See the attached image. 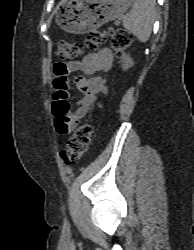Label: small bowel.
Returning <instances> with one entry per match:
<instances>
[{"instance_id": "1", "label": "small bowel", "mask_w": 194, "mask_h": 250, "mask_svg": "<svg viewBox=\"0 0 194 250\" xmlns=\"http://www.w3.org/2000/svg\"><path fill=\"white\" fill-rule=\"evenodd\" d=\"M113 52L109 48H103L95 53L86 55L82 60L70 63H58L54 67L55 94H64L65 98L59 102L62 110L54 112L56 116L55 126L60 135H68L80 123V121L92 109L99 93L106 92L105 79L98 75L100 72L108 71L113 64ZM81 72L84 75H94L89 79L77 77L75 82L78 89L83 93L75 109L68 101L67 75L71 72Z\"/></svg>"}]
</instances>
